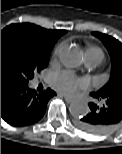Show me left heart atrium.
Instances as JSON below:
<instances>
[{
  "instance_id": "39dd6f15",
  "label": "left heart atrium",
  "mask_w": 122,
  "mask_h": 154,
  "mask_svg": "<svg viewBox=\"0 0 122 154\" xmlns=\"http://www.w3.org/2000/svg\"><path fill=\"white\" fill-rule=\"evenodd\" d=\"M51 83L56 90L66 95H74L80 89H85L87 87L86 80L78 78L67 71L54 74Z\"/></svg>"
}]
</instances>
